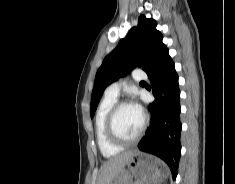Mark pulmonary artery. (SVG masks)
<instances>
[{"instance_id": "obj_1", "label": "pulmonary artery", "mask_w": 235, "mask_h": 184, "mask_svg": "<svg viewBox=\"0 0 235 184\" xmlns=\"http://www.w3.org/2000/svg\"><path fill=\"white\" fill-rule=\"evenodd\" d=\"M131 74L135 79H139L142 76H145L144 73H142V69H131ZM124 84L123 80H119L117 82L111 83L108 85L105 89V95L111 98H118L120 94V89L122 85Z\"/></svg>"}]
</instances>
